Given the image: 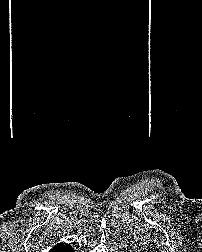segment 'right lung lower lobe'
<instances>
[{
  "instance_id": "1",
  "label": "right lung lower lobe",
  "mask_w": 202,
  "mask_h": 252,
  "mask_svg": "<svg viewBox=\"0 0 202 252\" xmlns=\"http://www.w3.org/2000/svg\"><path fill=\"white\" fill-rule=\"evenodd\" d=\"M62 251L63 252H75V250L70 245L62 247Z\"/></svg>"
}]
</instances>
